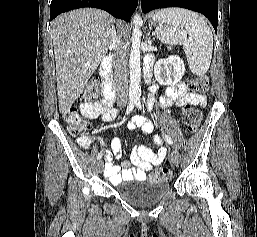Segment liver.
<instances>
[{"label":"liver","instance_id":"liver-1","mask_svg":"<svg viewBox=\"0 0 257 237\" xmlns=\"http://www.w3.org/2000/svg\"><path fill=\"white\" fill-rule=\"evenodd\" d=\"M107 12L85 8L52 22L59 110L66 114L108 51L114 29Z\"/></svg>","mask_w":257,"mask_h":237}]
</instances>
